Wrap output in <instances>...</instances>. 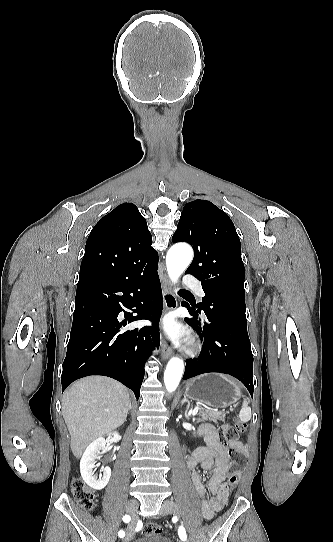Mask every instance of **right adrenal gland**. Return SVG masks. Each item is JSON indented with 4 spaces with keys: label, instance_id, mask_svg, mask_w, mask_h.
<instances>
[{
    "label": "right adrenal gland",
    "instance_id": "right-adrenal-gland-1",
    "mask_svg": "<svg viewBox=\"0 0 333 542\" xmlns=\"http://www.w3.org/2000/svg\"><path fill=\"white\" fill-rule=\"evenodd\" d=\"M129 410H132V408H131V402H130V404H129Z\"/></svg>",
    "mask_w": 333,
    "mask_h": 542
}]
</instances>
